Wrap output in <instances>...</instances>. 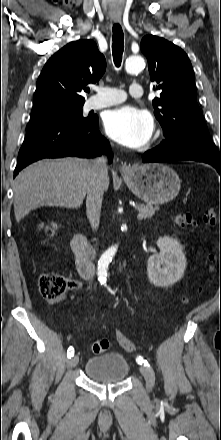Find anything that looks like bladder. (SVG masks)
I'll return each instance as SVG.
<instances>
[{
    "label": "bladder",
    "mask_w": 221,
    "mask_h": 440,
    "mask_svg": "<svg viewBox=\"0 0 221 440\" xmlns=\"http://www.w3.org/2000/svg\"><path fill=\"white\" fill-rule=\"evenodd\" d=\"M129 372V363L121 353L111 352L90 358L85 364L88 378L100 383L122 382Z\"/></svg>",
    "instance_id": "bladder-1"
}]
</instances>
